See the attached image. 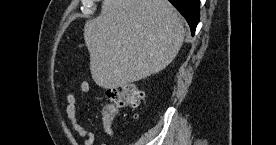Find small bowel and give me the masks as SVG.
Listing matches in <instances>:
<instances>
[{
  "instance_id": "obj_1",
  "label": "small bowel",
  "mask_w": 276,
  "mask_h": 145,
  "mask_svg": "<svg viewBox=\"0 0 276 145\" xmlns=\"http://www.w3.org/2000/svg\"><path fill=\"white\" fill-rule=\"evenodd\" d=\"M90 84L87 81H84L80 84V91L83 94L90 92ZM77 110V98L75 94L69 93L66 96V105H65V114L66 118L73 129L78 135L84 138L83 145H93L95 142V136L92 131L81 125L76 117ZM102 129L104 133L109 137H114V132L112 129L111 121L107 118L102 119Z\"/></svg>"
}]
</instances>
